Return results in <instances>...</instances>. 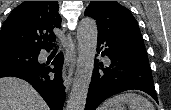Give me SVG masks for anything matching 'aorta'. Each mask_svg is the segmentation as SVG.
<instances>
[{"label":"aorta","instance_id":"aorta-1","mask_svg":"<svg viewBox=\"0 0 171 110\" xmlns=\"http://www.w3.org/2000/svg\"><path fill=\"white\" fill-rule=\"evenodd\" d=\"M97 25L94 19L84 18L77 30L78 60L66 110H84L93 74L97 47Z\"/></svg>","mask_w":171,"mask_h":110}]
</instances>
